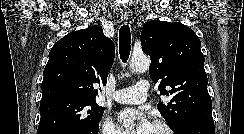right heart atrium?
<instances>
[{"label":"right heart atrium","mask_w":244,"mask_h":134,"mask_svg":"<svg viewBox=\"0 0 244 134\" xmlns=\"http://www.w3.org/2000/svg\"><path fill=\"white\" fill-rule=\"evenodd\" d=\"M100 134H123L122 131L115 125L111 118L105 117L99 129Z\"/></svg>","instance_id":"obj_1"}]
</instances>
